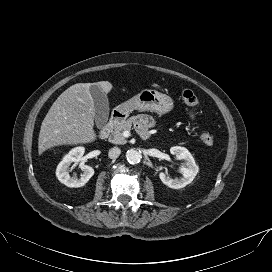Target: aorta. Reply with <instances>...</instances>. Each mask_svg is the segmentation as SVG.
I'll return each instance as SVG.
<instances>
[{"mask_svg": "<svg viewBox=\"0 0 272 272\" xmlns=\"http://www.w3.org/2000/svg\"><path fill=\"white\" fill-rule=\"evenodd\" d=\"M126 159L130 164L134 165L138 164L141 161L142 155L139 151L135 149H130L126 152Z\"/></svg>", "mask_w": 272, "mask_h": 272, "instance_id": "1", "label": "aorta"}]
</instances>
